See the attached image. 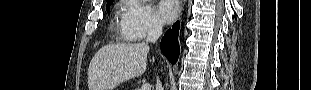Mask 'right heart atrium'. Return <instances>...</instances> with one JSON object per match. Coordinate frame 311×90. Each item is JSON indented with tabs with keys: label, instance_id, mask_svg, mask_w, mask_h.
<instances>
[{
	"label": "right heart atrium",
	"instance_id": "right-heart-atrium-1",
	"mask_svg": "<svg viewBox=\"0 0 311 90\" xmlns=\"http://www.w3.org/2000/svg\"><path fill=\"white\" fill-rule=\"evenodd\" d=\"M124 10L119 20V30L124 38L138 41L162 28L152 8L140 0H123Z\"/></svg>",
	"mask_w": 311,
	"mask_h": 90
}]
</instances>
